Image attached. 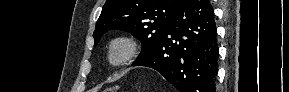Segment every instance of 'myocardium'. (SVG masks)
I'll use <instances>...</instances> for the list:
<instances>
[{"label":"myocardium","mask_w":289,"mask_h":92,"mask_svg":"<svg viewBox=\"0 0 289 92\" xmlns=\"http://www.w3.org/2000/svg\"><path fill=\"white\" fill-rule=\"evenodd\" d=\"M140 53L138 40L129 34L111 38L105 49V60L110 67L121 68L133 62Z\"/></svg>","instance_id":"f54148a6"}]
</instances>
